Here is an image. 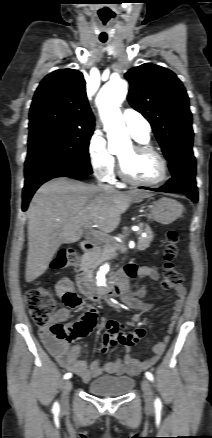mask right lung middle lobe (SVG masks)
I'll list each match as a JSON object with an SVG mask.
<instances>
[{
	"mask_svg": "<svg viewBox=\"0 0 212 438\" xmlns=\"http://www.w3.org/2000/svg\"><path fill=\"white\" fill-rule=\"evenodd\" d=\"M93 130L42 127L30 130L28 160L89 163L88 147Z\"/></svg>",
	"mask_w": 212,
	"mask_h": 438,
	"instance_id": "right-lung-middle-lobe-1",
	"label": "right lung middle lobe"
}]
</instances>
